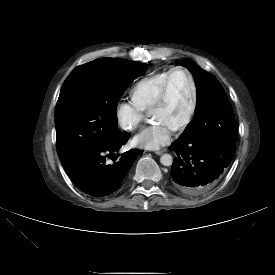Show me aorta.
<instances>
[{
	"label": "aorta",
	"mask_w": 275,
	"mask_h": 275,
	"mask_svg": "<svg viewBox=\"0 0 275 275\" xmlns=\"http://www.w3.org/2000/svg\"><path fill=\"white\" fill-rule=\"evenodd\" d=\"M160 162L164 166H171L173 163V158L170 154H163L160 158Z\"/></svg>",
	"instance_id": "1"
}]
</instances>
